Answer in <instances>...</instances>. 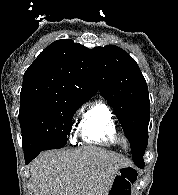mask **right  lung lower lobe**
<instances>
[{
  "instance_id": "right-lung-lower-lobe-1",
  "label": "right lung lower lobe",
  "mask_w": 178,
  "mask_h": 195,
  "mask_svg": "<svg viewBox=\"0 0 178 195\" xmlns=\"http://www.w3.org/2000/svg\"><path fill=\"white\" fill-rule=\"evenodd\" d=\"M41 151H42V150H41ZM41 151H35V152H32V153H26V154H25V163L28 164L29 162H31L35 157L38 156V154H39Z\"/></svg>"
}]
</instances>
